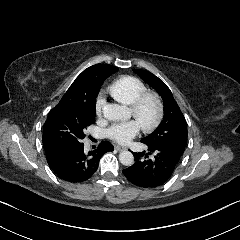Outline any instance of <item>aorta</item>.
Wrapping results in <instances>:
<instances>
[{
    "label": "aorta",
    "mask_w": 240,
    "mask_h": 240,
    "mask_svg": "<svg viewBox=\"0 0 240 240\" xmlns=\"http://www.w3.org/2000/svg\"><path fill=\"white\" fill-rule=\"evenodd\" d=\"M126 114V109L118 104H107L103 107V115L110 121H119ZM119 161L122 165L131 166L134 163V156L130 151L124 150L119 154Z\"/></svg>",
    "instance_id": "aorta-1"
}]
</instances>
